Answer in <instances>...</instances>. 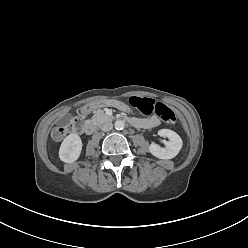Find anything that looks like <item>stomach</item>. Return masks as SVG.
<instances>
[{
  "label": "stomach",
  "mask_w": 248,
  "mask_h": 248,
  "mask_svg": "<svg viewBox=\"0 0 248 248\" xmlns=\"http://www.w3.org/2000/svg\"><path fill=\"white\" fill-rule=\"evenodd\" d=\"M108 107H116L122 114H128L129 108L126 107L125 104L120 102L119 100H105L95 103L96 109L108 108Z\"/></svg>",
  "instance_id": "stomach-1"
}]
</instances>
